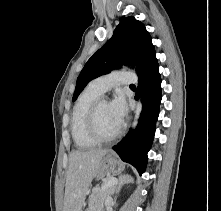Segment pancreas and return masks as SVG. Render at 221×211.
Wrapping results in <instances>:
<instances>
[{
    "instance_id": "pancreas-1",
    "label": "pancreas",
    "mask_w": 221,
    "mask_h": 211,
    "mask_svg": "<svg viewBox=\"0 0 221 211\" xmlns=\"http://www.w3.org/2000/svg\"><path fill=\"white\" fill-rule=\"evenodd\" d=\"M110 178H107L102 185V187L105 185V183L109 180ZM102 187H95L91 194H90V199H89V209L88 211H103L104 209V204L106 199L114 193V186H109L105 190H102Z\"/></svg>"
}]
</instances>
